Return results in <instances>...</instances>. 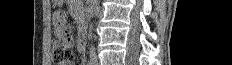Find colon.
<instances>
[{
	"mask_svg": "<svg viewBox=\"0 0 232 65\" xmlns=\"http://www.w3.org/2000/svg\"><path fill=\"white\" fill-rule=\"evenodd\" d=\"M72 58L70 37H61L53 43V61L55 64L62 65Z\"/></svg>",
	"mask_w": 232,
	"mask_h": 65,
	"instance_id": "obj_1",
	"label": "colon"
}]
</instances>
